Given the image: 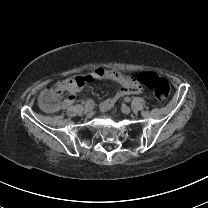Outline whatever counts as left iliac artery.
<instances>
[{"mask_svg": "<svg viewBox=\"0 0 208 208\" xmlns=\"http://www.w3.org/2000/svg\"><path fill=\"white\" fill-rule=\"evenodd\" d=\"M124 101H125V102H130L131 99H130L129 97H125V98H124Z\"/></svg>", "mask_w": 208, "mask_h": 208, "instance_id": "obj_1", "label": "left iliac artery"}]
</instances>
